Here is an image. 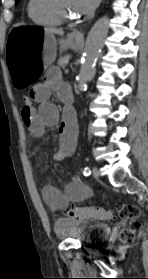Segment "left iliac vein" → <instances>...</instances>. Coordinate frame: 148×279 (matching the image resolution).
Listing matches in <instances>:
<instances>
[{
    "label": "left iliac vein",
    "mask_w": 148,
    "mask_h": 279,
    "mask_svg": "<svg viewBox=\"0 0 148 279\" xmlns=\"http://www.w3.org/2000/svg\"><path fill=\"white\" fill-rule=\"evenodd\" d=\"M92 174L93 176L96 178V179H99L100 177V172H99V169L97 167H93L92 168Z\"/></svg>",
    "instance_id": "obj_1"
}]
</instances>
